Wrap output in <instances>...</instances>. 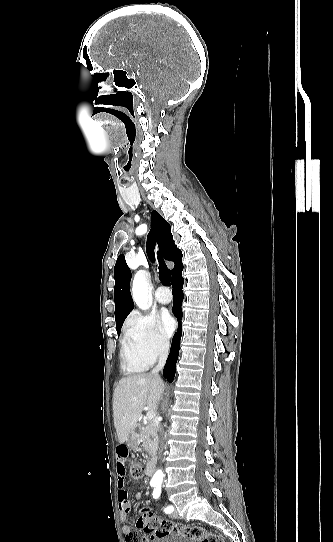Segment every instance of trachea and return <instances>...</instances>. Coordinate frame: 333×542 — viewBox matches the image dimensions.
<instances>
[{
	"label": "trachea",
	"instance_id": "obj_1",
	"mask_svg": "<svg viewBox=\"0 0 333 542\" xmlns=\"http://www.w3.org/2000/svg\"><path fill=\"white\" fill-rule=\"evenodd\" d=\"M158 261H159V279L164 285L169 286L171 282V272L167 268L160 253H158Z\"/></svg>",
	"mask_w": 333,
	"mask_h": 542
}]
</instances>
